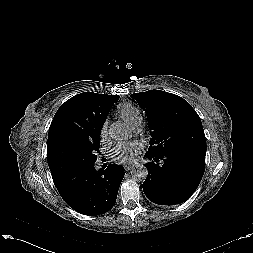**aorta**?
<instances>
[{
    "instance_id": "1",
    "label": "aorta",
    "mask_w": 253,
    "mask_h": 253,
    "mask_svg": "<svg viewBox=\"0 0 253 253\" xmlns=\"http://www.w3.org/2000/svg\"><path fill=\"white\" fill-rule=\"evenodd\" d=\"M109 136L116 141H123L131 137V131L127 124L115 122L109 128ZM131 175L136 181H144L148 175V171L146 167L141 166L133 169Z\"/></svg>"
}]
</instances>
